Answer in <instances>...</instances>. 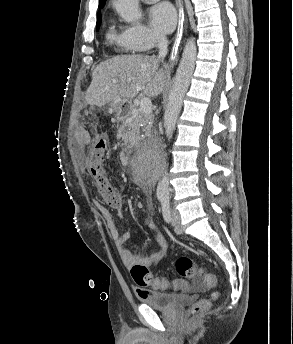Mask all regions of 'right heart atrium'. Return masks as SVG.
<instances>
[{
    "instance_id": "d8ad5b80",
    "label": "right heart atrium",
    "mask_w": 293,
    "mask_h": 344,
    "mask_svg": "<svg viewBox=\"0 0 293 344\" xmlns=\"http://www.w3.org/2000/svg\"><path fill=\"white\" fill-rule=\"evenodd\" d=\"M121 35L124 43L132 51L150 50L161 39L159 35L141 23L122 26Z\"/></svg>"
}]
</instances>
